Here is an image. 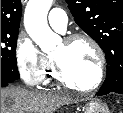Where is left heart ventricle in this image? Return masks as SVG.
<instances>
[{"instance_id":"obj_1","label":"left heart ventricle","mask_w":123,"mask_h":113,"mask_svg":"<svg viewBox=\"0 0 123 113\" xmlns=\"http://www.w3.org/2000/svg\"><path fill=\"white\" fill-rule=\"evenodd\" d=\"M53 57L60 62L67 77L78 85L87 86L96 78L97 56L86 41H76L71 45L62 42Z\"/></svg>"}]
</instances>
